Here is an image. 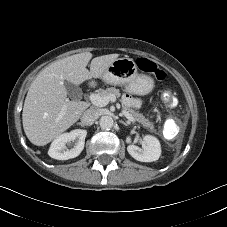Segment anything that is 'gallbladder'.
I'll list each match as a JSON object with an SVG mask.
<instances>
[{
    "label": "gallbladder",
    "mask_w": 227,
    "mask_h": 227,
    "mask_svg": "<svg viewBox=\"0 0 227 227\" xmlns=\"http://www.w3.org/2000/svg\"><path fill=\"white\" fill-rule=\"evenodd\" d=\"M64 85H65L68 95L71 98L76 99L81 95V89L77 85H74L67 81H65Z\"/></svg>",
    "instance_id": "gallbladder-1"
}]
</instances>
